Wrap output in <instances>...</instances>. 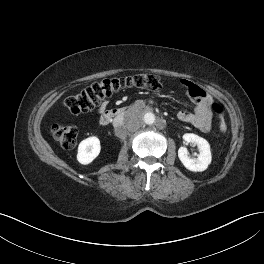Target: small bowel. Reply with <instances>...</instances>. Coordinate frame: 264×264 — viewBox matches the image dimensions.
<instances>
[{
  "label": "small bowel",
  "mask_w": 264,
  "mask_h": 264,
  "mask_svg": "<svg viewBox=\"0 0 264 264\" xmlns=\"http://www.w3.org/2000/svg\"><path fill=\"white\" fill-rule=\"evenodd\" d=\"M182 84L187 88L188 96L194 104V111H180L177 118L184 123H188L202 132H208L212 127V105L211 97L198 85L182 80ZM108 102L101 103L98 111L102 112Z\"/></svg>",
  "instance_id": "c3829d8e"
}]
</instances>
